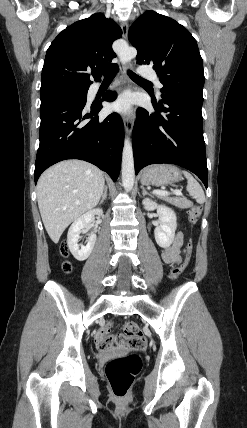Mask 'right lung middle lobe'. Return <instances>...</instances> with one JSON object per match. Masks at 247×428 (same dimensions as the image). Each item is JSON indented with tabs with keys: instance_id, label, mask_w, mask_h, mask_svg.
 I'll use <instances>...</instances> for the list:
<instances>
[{
	"instance_id": "1",
	"label": "right lung middle lobe",
	"mask_w": 247,
	"mask_h": 428,
	"mask_svg": "<svg viewBox=\"0 0 247 428\" xmlns=\"http://www.w3.org/2000/svg\"><path fill=\"white\" fill-rule=\"evenodd\" d=\"M88 88L68 87L49 92L40 93L41 103L54 100L86 101Z\"/></svg>"
}]
</instances>
